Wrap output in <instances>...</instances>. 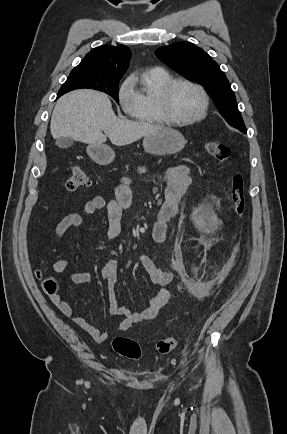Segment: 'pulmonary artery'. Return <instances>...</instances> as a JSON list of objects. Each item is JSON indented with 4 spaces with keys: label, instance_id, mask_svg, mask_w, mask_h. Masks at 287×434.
<instances>
[{
    "label": "pulmonary artery",
    "instance_id": "pulmonary-artery-1",
    "mask_svg": "<svg viewBox=\"0 0 287 434\" xmlns=\"http://www.w3.org/2000/svg\"><path fill=\"white\" fill-rule=\"evenodd\" d=\"M156 69H159V68H153L152 70H156Z\"/></svg>",
    "mask_w": 287,
    "mask_h": 434
}]
</instances>
